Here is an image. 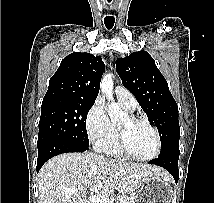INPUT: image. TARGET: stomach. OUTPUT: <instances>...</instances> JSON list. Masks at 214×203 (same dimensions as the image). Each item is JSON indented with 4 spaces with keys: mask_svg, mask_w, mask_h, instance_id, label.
Listing matches in <instances>:
<instances>
[{
    "mask_svg": "<svg viewBox=\"0 0 214 203\" xmlns=\"http://www.w3.org/2000/svg\"><path fill=\"white\" fill-rule=\"evenodd\" d=\"M173 190L165 176L154 173L137 190L135 203H171Z\"/></svg>",
    "mask_w": 214,
    "mask_h": 203,
    "instance_id": "stomach-1",
    "label": "stomach"
}]
</instances>
